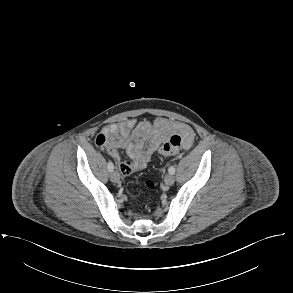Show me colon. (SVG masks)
<instances>
[{
  "label": "colon",
  "instance_id": "colon-1",
  "mask_svg": "<svg viewBox=\"0 0 293 293\" xmlns=\"http://www.w3.org/2000/svg\"><path fill=\"white\" fill-rule=\"evenodd\" d=\"M183 148L182 137L178 134H174L168 138L158 149L159 153L166 156L178 154ZM145 186L156 191L158 189L157 184L153 180H147Z\"/></svg>",
  "mask_w": 293,
  "mask_h": 293
}]
</instances>
